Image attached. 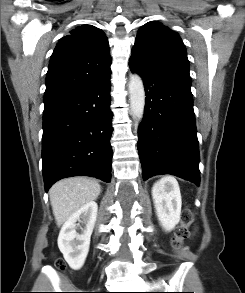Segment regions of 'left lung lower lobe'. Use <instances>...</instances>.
Listing matches in <instances>:
<instances>
[{
  "mask_svg": "<svg viewBox=\"0 0 245 293\" xmlns=\"http://www.w3.org/2000/svg\"><path fill=\"white\" fill-rule=\"evenodd\" d=\"M129 67L145 87V110L138 152L145 180L172 174L199 185V149L191 84L137 57Z\"/></svg>",
  "mask_w": 245,
  "mask_h": 293,
  "instance_id": "0a47b994",
  "label": "left lung lower lobe"
}]
</instances>
